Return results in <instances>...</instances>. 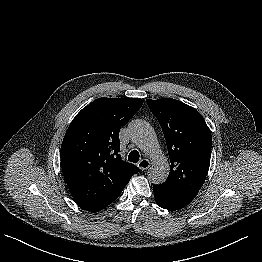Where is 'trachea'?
Listing matches in <instances>:
<instances>
[{"instance_id": "3493384b", "label": "trachea", "mask_w": 262, "mask_h": 262, "mask_svg": "<svg viewBox=\"0 0 262 262\" xmlns=\"http://www.w3.org/2000/svg\"><path fill=\"white\" fill-rule=\"evenodd\" d=\"M139 152L137 150H133L128 155V161L137 163L139 161Z\"/></svg>"}]
</instances>
